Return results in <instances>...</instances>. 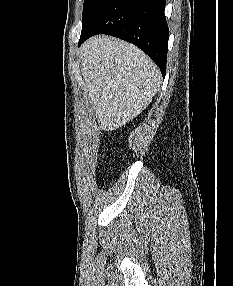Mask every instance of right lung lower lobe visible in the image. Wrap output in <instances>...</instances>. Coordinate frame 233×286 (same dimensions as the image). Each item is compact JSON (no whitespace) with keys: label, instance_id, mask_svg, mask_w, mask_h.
I'll list each match as a JSON object with an SVG mask.
<instances>
[{"label":"right lung lower lobe","instance_id":"obj_1","mask_svg":"<svg viewBox=\"0 0 233 286\" xmlns=\"http://www.w3.org/2000/svg\"><path fill=\"white\" fill-rule=\"evenodd\" d=\"M166 0H100L83 20L78 46L96 34H107L135 44L165 76L168 25Z\"/></svg>","mask_w":233,"mask_h":286}]
</instances>
